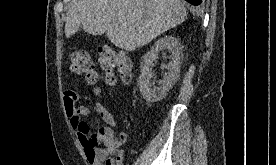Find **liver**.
Wrapping results in <instances>:
<instances>
[{
  "instance_id": "6515ba94",
  "label": "liver",
  "mask_w": 276,
  "mask_h": 165,
  "mask_svg": "<svg viewBox=\"0 0 276 165\" xmlns=\"http://www.w3.org/2000/svg\"><path fill=\"white\" fill-rule=\"evenodd\" d=\"M186 18L180 0H78L67 12L65 35L70 38L81 27L92 35L106 33L116 47L134 51Z\"/></svg>"
}]
</instances>
